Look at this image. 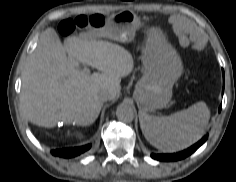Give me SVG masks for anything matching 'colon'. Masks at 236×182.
I'll return each instance as SVG.
<instances>
[{
  "instance_id": "1",
  "label": "colon",
  "mask_w": 236,
  "mask_h": 182,
  "mask_svg": "<svg viewBox=\"0 0 236 182\" xmlns=\"http://www.w3.org/2000/svg\"><path fill=\"white\" fill-rule=\"evenodd\" d=\"M105 20L100 14H94L90 16L80 15L73 19H66L59 25V31L64 36H68L79 29H85L87 27H101Z\"/></svg>"
}]
</instances>
